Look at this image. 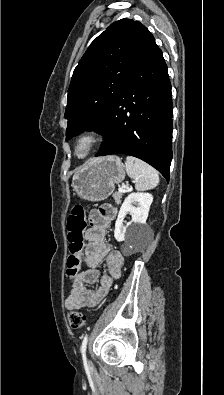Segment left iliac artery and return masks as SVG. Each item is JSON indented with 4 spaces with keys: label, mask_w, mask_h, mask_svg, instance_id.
<instances>
[{
    "label": "left iliac artery",
    "mask_w": 224,
    "mask_h": 395,
    "mask_svg": "<svg viewBox=\"0 0 224 395\" xmlns=\"http://www.w3.org/2000/svg\"><path fill=\"white\" fill-rule=\"evenodd\" d=\"M87 342H88V335H85L81 345V352L84 359H86Z\"/></svg>",
    "instance_id": "44dca946"
}]
</instances>
